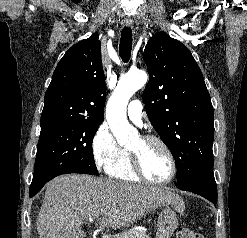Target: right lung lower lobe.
Segmentation results:
<instances>
[{
    "instance_id": "98d812e1",
    "label": "right lung lower lobe",
    "mask_w": 247,
    "mask_h": 238,
    "mask_svg": "<svg viewBox=\"0 0 247 238\" xmlns=\"http://www.w3.org/2000/svg\"><path fill=\"white\" fill-rule=\"evenodd\" d=\"M45 183H43L42 185H40L39 187L35 189H30L29 191L30 197H33L35 194H37L41 190V188L45 185Z\"/></svg>"
}]
</instances>
